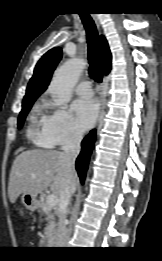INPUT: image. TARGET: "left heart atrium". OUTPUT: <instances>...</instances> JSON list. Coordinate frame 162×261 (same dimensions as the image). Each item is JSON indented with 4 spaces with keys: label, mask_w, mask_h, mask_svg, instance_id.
Masks as SVG:
<instances>
[{
    "label": "left heart atrium",
    "mask_w": 162,
    "mask_h": 261,
    "mask_svg": "<svg viewBox=\"0 0 162 261\" xmlns=\"http://www.w3.org/2000/svg\"><path fill=\"white\" fill-rule=\"evenodd\" d=\"M77 127L85 131L89 129L97 116V104L93 99H77L72 105Z\"/></svg>",
    "instance_id": "1"
}]
</instances>
